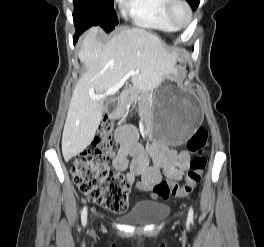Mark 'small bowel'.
<instances>
[{"label": "small bowel", "instance_id": "small-bowel-1", "mask_svg": "<svg viewBox=\"0 0 264 247\" xmlns=\"http://www.w3.org/2000/svg\"><path fill=\"white\" fill-rule=\"evenodd\" d=\"M115 138L119 149L113 166L119 171L128 170V182L135 184L140 191H151L161 181L162 176L171 181L181 180L189 166V154L186 151L169 149L160 141L153 142L146 150L139 143V133L133 126L118 127ZM149 159L153 162L152 166L148 165ZM137 178L139 179L136 180Z\"/></svg>", "mask_w": 264, "mask_h": 247}]
</instances>
